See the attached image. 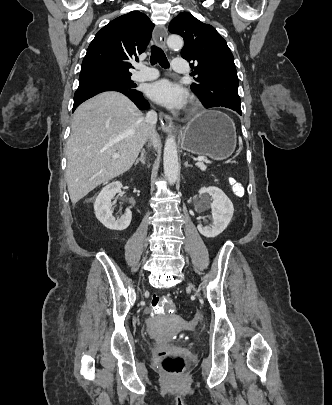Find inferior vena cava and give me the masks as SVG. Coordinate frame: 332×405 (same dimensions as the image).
I'll return each instance as SVG.
<instances>
[{
    "mask_svg": "<svg viewBox=\"0 0 332 405\" xmlns=\"http://www.w3.org/2000/svg\"><path fill=\"white\" fill-rule=\"evenodd\" d=\"M145 123L150 135L155 132V125L157 123V113L155 111H149L145 117Z\"/></svg>",
    "mask_w": 332,
    "mask_h": 405,
    "instance_id": "602c4592",
    "label": "inferior vena cava"
}]
</instances>
